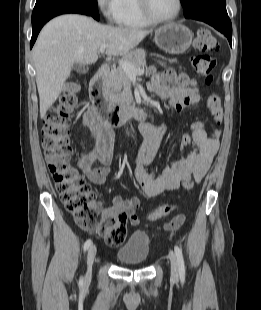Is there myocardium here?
I'll list each match as a JSON object with an SVG mask.
<instances>
[{"label": "myocardium", "instance_id": "1", "mask_svg": "<svg viewBox=\"0 0 261 310\" xmlns=\"http://www.w3.org/2000/svg\"><path fill=\"white\" fill-rule=\"evenodd\" d=\"M176 2H177V8L175 13L172 16L163 19L157 18L152 14L149 6V0H138V5L142 15L147 21H149L152 24H165L173 22L180 15L182 10V0H176Z\"/></svg>", "mask_w": 261, "mask_h": 310}]
</instances>
